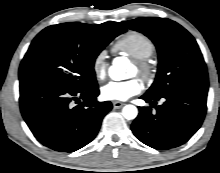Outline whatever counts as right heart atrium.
Wrapping results in <instances>:
<instances>
[{
	"label": "right heart atrium",
	"instance_id": "1",
	"mask_svg": "<svg viewBox=\"0 0 220 173\" xmlns=\"http://www.w3.org/2000/svg\"><path fill=\"white\" fill-rule=\"evenodd\" d=\"M92 70L98 80L105 79L107 74V60L106 53L104 51L98 52L94 57L92 62Z\"/></svg>",
	"mask_w": 220,
	"mask_h": 173
}]
</instances>
